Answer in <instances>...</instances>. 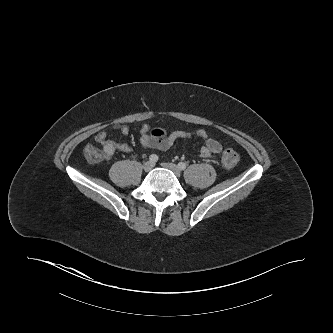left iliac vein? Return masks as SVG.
<instances>
[{
	"label": "left iliac vein",
	"mask_w": 333,
	"mask_h": 333,
	"mask_svg": "<svg viewBox=\"0 0 333 333\" xmlns=\"http://www.w3.org/2000/svg\"><path fill=\"white\" fill-rule=\"evenodd\" d=\"M161 166L166 169L171 170L177 177H179L181 175V171H180L179 167L173 163L163 162V163H161Z\"/></svg>",
	"instance_id": "left-iliac-vein-1"
}]
</instances>
